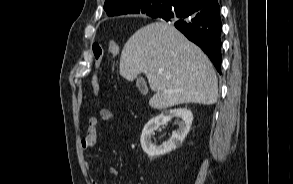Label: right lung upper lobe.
I'll return each instance as SVG.
<instances>
[{
    "mask_svg": "<svg viewBox=\"0 0 293 184\" xmlns=\"http://www.w3.org/2000/svg\"><path fill=\"white\" fill-rule=\"evenodd\" d=\"M155 1H161V0H105L104 10L106 11L108 16L143 13L151 17H154L160 13V12L152 13L150 11V7ZM178 1L180 0H166L167 6L164 9L173 6ZM195 1L197 2L199 1L200 3H203L204 6H208L212 3L217 2V0H195Z\"/></svg>",
    "mask_w": 293,
    "mask_h": 184,
    "instance_id": "1",
    "label": "right lung upper lobe"
}]
</instances>
